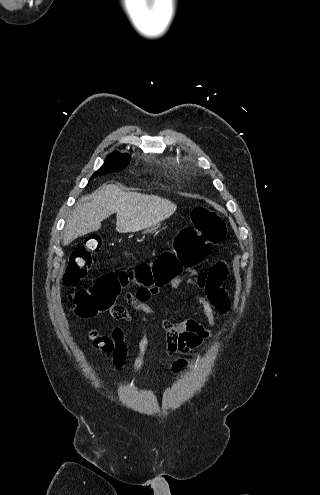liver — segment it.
Returning <instances> with one entry per match:
<instances>
[{
	"label": "liver",
	"mask_w": 320,
	"mask_h": 495,
	"mask_svg": "<svg viewBox=\"0 0 320 495\" xmlns=\"http://www.w3.org/2000/svg\"><path fill=\"white\" fill-rule=\"evenodd\" d=\"M177 206L157 195L125 192L117 185L104 184L91 200L81 197L66 220L64 245L98 231L101 222L116 213V231L136 232L170 217Z\"/></svg>",
	"instance_id": "1"
}]
</instances>
